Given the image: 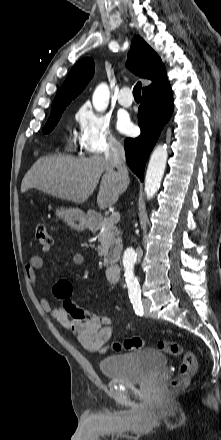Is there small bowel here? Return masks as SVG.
Listing matches in <instances>:
<instances>
[{
    "label": "small bowel",
    "instance_id": "1",
    "mask_svg": "<svg viewBox=\"0 0 221 440\" xmlns=\"http://www.w3.org/2000/svg\"><path fill=\"white\" fill-rule=\"evenodd\" d=\"M49 247H44L43 251L47 252ZM84 262L83 255L76 253L72 257V263L80 266ZM43 267V259L38 256H32L25 267V275L28 282L35 289L38 288L39 282L37 272ZM39 303L42 309L47 312L54 320H56L68 333L77 340L85 349L92 352H104L108 350L113 335V328H104L103 324H96L94 321H85L79 318L77 321H67L66 314L61 306L52 307L47 298L39 297Z\"/></svg>",
    "mask_w": 221,
    "mask_h": 440
}]
</instances>
